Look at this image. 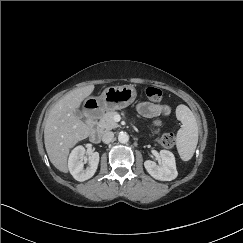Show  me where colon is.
Instances as JSON below:
<instances>
[{
	"mask_svg": "<svg viewBox=\"0 0 243 243\" xmlns=\"http://www.w3.org/2000/svg\"><path fill=\"white\" fill-rule=\"evenodd\" d=\"M146 95L149 98V100L154 103L160 102L163 98L162 91L156 87L147 88ZM153 124H154L153 134H154L157 142L165 148L172 147L176 142L175 135L172 133L161 134L160 129H159L160 125H161V121L159 119H155Z\"/></svg>",
	"mask_w": 243,
	"mask_h": 243,
	"instance_id": "1",
	"label": "colon"
}]
</instances>
